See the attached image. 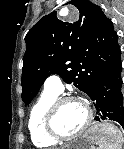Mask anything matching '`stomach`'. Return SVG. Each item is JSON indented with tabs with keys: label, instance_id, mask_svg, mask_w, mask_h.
<instances>
[{
	"label": "stomach",
	"instance_id": "1",
	"mask_svg": "<svg viewBox=\"0 0 124 149\" xmlns=\"http://www.w3.org/2000/svg\"><path fill=\"white\" fill-rule=\"evenodd\" d=\"M104 124H99L92 128L88 133L80 137L71 145H68L65 149H94L93 144L95 143L94 135H96L100 127ZM121 134V133H120Z\"/></svg>",
	"mask_w": 124,
	"mask_h": 149
}]
</instances>
